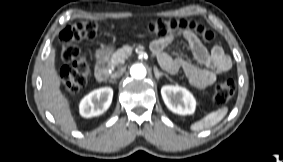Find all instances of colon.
<instances>
[{"label": "colon", "instance_id": "1", "mask_svg": "<svg viewBox=\"0 0 283 162\" xmlns=\"http://www.w3.org/2000/svg\"><path fill=\"white\" fill-rule=\"evenodd\" d=\"M98 29L96 21L85 20L67 26L60 33L61 59L64 63L60 78L64 92L75 94L86 85L90 65L82 55L77 43L84 39H94ZM147 29L150 34L159 38L192 33L206 43H216L212 31L197 22L186 19L154 20L148 24ZM234 92V81L231 78L222 79L215 86L213 101L217 105H223L233 97Z\"/></svg>", "mask_w": 283, "mask_h": 162}]
</instances>
